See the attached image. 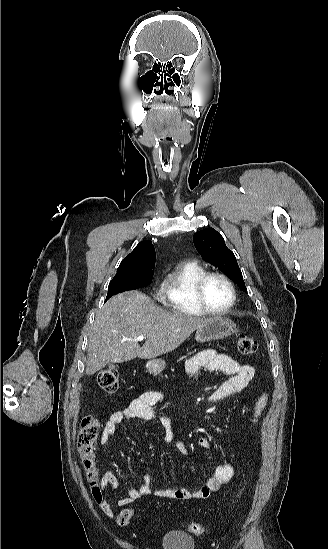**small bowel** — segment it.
<instances>
[{
	"label": "small bowel",
	"mask_w": 328,
	"mask_h": 549,
	"mask_svg": "<svg viewBox=\"0 0 328 549\" xmlns=\"http://www.w3.org/2000/svg\"><path fill=\"white\" fill-rule=\"evenodd\" d=\"M185 369L190 376H194L202 370L223 372L230 376L210 394L208 400L212 404L219 403L227 397L241 392L249 385L255 376V369L253 366L241 364L232 357L212 349L201 351L189 358L186 361ZM162 398L163 394L160 391H146L133 399L127 407L112 413L104 424L101 443L105 444L113 437L118 425L127 419H140L161 424L164 428L162 438L165 442H170L173 438L174 430L171 427L167 416L156 408V405ZM197 444L201 448L210 449V442L205 437L199 438ZM176 446L184 457L188 455V451L182 442L179 441ZM233 476V466L228 463L219 462L215 465L205 485L200 488L194 490L185 488H158L156 492L160 496L177 500L188 501L207 499L210 495L219 491L223 485L230 482L233 479ZM154 481L152 474H144L140 487L130 489L125 497L120 498L117 501V505L126 506L145 495L151 494ZM117 485L118 480L114 471L109 470L103 474L100 482L101 490L105 491L109 488L116 489ZM98 503L106 515H113V505L110 501L102 497Z\"/></svg>",
	"instance_id": "c3829d8e"
}]
</instances>
